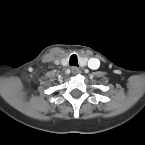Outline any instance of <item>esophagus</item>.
Masks as SVG:
<instances>
[{"mask_svg": "<svg viewBox=\"0 0 145 145\" xmlns=\"http://www.w3.org/2000/svg\"><path fill=\"white\" fill-rule=\"evenodd\" d=\"M71 70H72V73H73V74H78V73L80 72L79 68L76 67V66H73V67L71 68Z\"/></svg>", "mask_w": 145, "mask_h": 145, "instance_id": "obj_1", "label": "esophagus"}]
</instances>
